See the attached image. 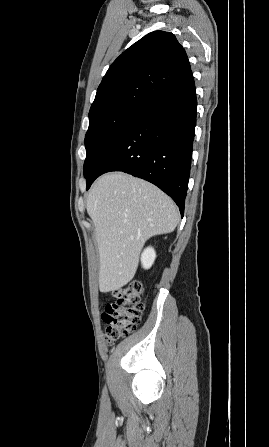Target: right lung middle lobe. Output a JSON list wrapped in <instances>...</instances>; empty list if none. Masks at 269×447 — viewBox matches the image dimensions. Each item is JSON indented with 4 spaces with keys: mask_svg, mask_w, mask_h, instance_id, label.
<instances>
[{
    "mask_svg": "<svg viewBox=\"0 0 269 447\" xmlns=\"http://www.w3.org/2000/svg\"><path fill=\"white\" fill-rule=\"evenodd\" d=\"M141 106H122L89 119V128L85 136L86 159L83 166L85 177L88 176L93 162L126 122L139 112Z\"/></svg>",
    "mask_w": 269,
    "mask_h": 447,
    "instance_id": "1",
    "label": "right lung middle lobe"
}]
</instances>
